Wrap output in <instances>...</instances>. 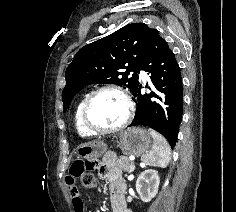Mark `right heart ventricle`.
<instances>
[{"label":"right heart ventricle","mask_w":236,"mask_h":212,"mask_svg":"<svg viewBox=\"0 0 236 212\" xmlns=\"http://www.w3.org/2000/svg\"><path fill=\"white\" fill-rule=\"evenodd\" d=\"M87 96H83L79 99L77 102L75 109H74V115H73V120H74V127L77 132V134L81 137H91L94 134L89 132L83 125L82 120H81V112H82V106L85 101V98Z\"/></svg>","instance_id":"obj_1"}]
</instances>
